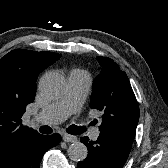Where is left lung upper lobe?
I'll use <instances>...</instances> for the list:
<instances>
[{"instance_id":"5c2ea615","label":"left lung upper lobe","mask_w":168,"mask_h":168,"mask_svg":"<svg viewBox=\"0 0 168 168\" xmlns=\"http://www.w3.org/2000/svg\"><path fill=\"white\" fill-rule=\"evenodd\" d=\"M100 74L95 78L90 107L103 113L100 132L134 141L139 106L125 72L108 57H98Z\"/></svg>"}]
</instances>
